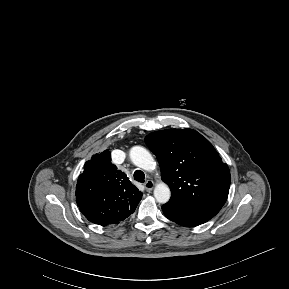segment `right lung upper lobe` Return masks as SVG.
<instances>
[{"mask_svg":"<svg viewBox=\"0 0 289 289\" xmlns=\"http://www.w3.org/2000/svg\"><path fill=\"white\" fill-rule=\"evenodd\" d=\"M142 198L125 173L111 163L108 150L84 165L76 185V202L92 223L105 226L133 213Z\"/></svg>","mask_w":289,"mask_h":289,"instance_id":"obj_1","label":"right lung upper lobe"}]
</instances>
